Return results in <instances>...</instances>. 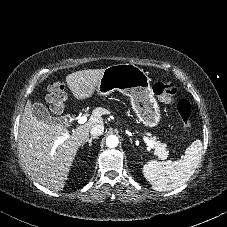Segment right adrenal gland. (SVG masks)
I'll return each instance as SVG.
<instances>
[{
	"instance_id": "obj_1",
	"label": "right adrenal gland",
	"mask_w": 227,
	"mask_h": 227,
	"mask_svg": "<svg viewBox=\"0 0 227 227\" xmlns=\"http://www.w3.org/2000/svg\"><path fill=\"white\" fill-rule=\"evenodd\" d=\"M98 138L97 136H92L90 139H88L86 142L88 143V146H91L92 140Z\"/></svg>"
}]
</instances>
